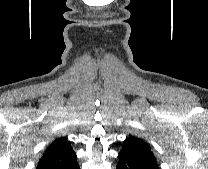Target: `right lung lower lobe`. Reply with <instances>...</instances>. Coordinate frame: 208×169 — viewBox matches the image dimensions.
I'll use <instances>...</instances> for the list:
<instances>
[{
    "instance_id": "obj_1",
    "label": "right lung lower lobe",
    "mask_w": 208,
    "mask_h": 169,
    "mask_svg": "<svg viewBox=\"0 0 208 169\" xmlns=\"http://www.w3.org/2000/svg\"><path fill=\"white\" fill-rule=\"evenodd\" d=\"M58 169H80L77 159L73 160L72 162L59 167Z\"/></svg>"
}]
</instances>
